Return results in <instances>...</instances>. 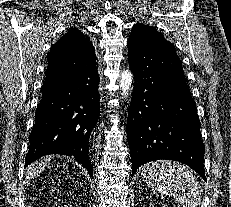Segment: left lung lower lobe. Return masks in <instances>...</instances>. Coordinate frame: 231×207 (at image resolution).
Instances as JSON below:
<instances>
[{
	"instance_id": "1",
	"label": "left lung lower lobe",
	"mask_w": 231,
	"mask_h": 207,
	"mask_svg": "<svg viewBox=\"0 0 231 207\" xmlns=\"http://www.w3.org/2000/svg\"><path fill=\"white\" fill-rule=\"evenodd\" d=\"M135 84L127 120L132 175L150 161L182 162L206 180L196 103L174 48L128 45Z\"/></svg>"
}]
</instances>
